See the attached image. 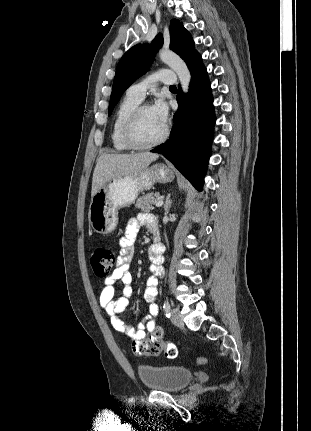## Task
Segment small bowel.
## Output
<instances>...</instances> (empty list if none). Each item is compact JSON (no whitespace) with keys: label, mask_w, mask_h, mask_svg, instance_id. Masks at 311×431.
<instances>
[{"label":"small bowel","mask_w":311,"mask_h":431,"mask_svg":"<svg viewBox=\"0 0 311 431\" xmlns=\"http://www.w3.org/2000/svg\"><path fill=\"white\" fill-rule=\"evenodd\" d=\"M141 226H146L151 232L158 231L157 218L152 214L142 212L128 222L124 235L119 241L120 253L117 267L112 275L105 279L99 302L101 308L109 315L111 325L116 331L123 333L136 342L145 339L161 341L163 331L157 325L159 313L157 285L158 276L161 274L160 265L163 262V244L160 246V251H155L153 245L149 249L150 272L152 275L147 280L144 292V300L149 304V313L136 326L127 323L123 315L132 294L130 270L135 249L134 243ZM117 288L121 292L120 296H116Z\"/></svg>","instance_id":"1"}]
</instances>
